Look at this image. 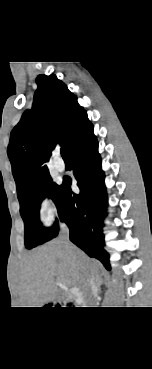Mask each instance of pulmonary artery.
<instances>
[{"mask_svg":"<svg viewBox=\"0 0 152 369\" xmlns=\"http://www.w3.org/2000/svg\"><path fill=\"white\" fill-rule=\"evenodd\" d=\"M54 167L57 171L59 172H62L64 171L65 169V164L62 160H60L59 158H57L55 161H54Z\"/></svg>","mask_w":152,"mask_h":369,"instance_id":"pulmonary-artery-1","label":"pulmonary artery"}]
</instances>
